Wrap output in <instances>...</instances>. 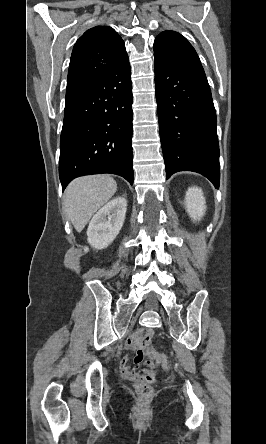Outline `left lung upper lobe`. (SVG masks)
Here are the masks:
<instances>
[{"instance_id": "obj_1", "label": "left lung upper lobe", "mask_w": 266, "mask_h": 444, "mask_svg": "<svg viewBox=\"0 0 266 444\" xmlns=\"http://www.w3.org/2000/svg\"><path fill=\"white\" fill-rule=\"evenodd\" d=\"M154 58L182 70L204 71L193 46L175 31H163L156 37Z\"/></svg>"}]
</instances>
